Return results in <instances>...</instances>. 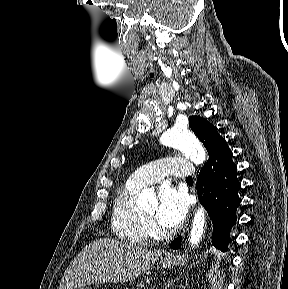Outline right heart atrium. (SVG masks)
I'll return each mask as SVG.
<instances>
[{
    "instance_id": "obj_1",
    "label": "right heart atrium",
    "mask_w": 288,
    "mask_h": 289,
    "mask_svg": "<svg viewBox=\"0 0 288 289\" xmlns=\"http://www.w3.org/2000/svg\"><path fill=\"white\" fill-rule=\"evenodd\" d=\"M147 231H148V234L154 231V227L151 221H147Z\"/></svg>"
}]
</instances>
